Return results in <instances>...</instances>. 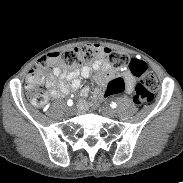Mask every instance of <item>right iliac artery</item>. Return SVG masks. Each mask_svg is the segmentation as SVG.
<instances>
[{
	"label": "right iliac artery",
	"instance_id": "obj_1",
	"mask_svg": "<svg viewBox=\"0 0 183 183\" xmlns=\"http://www.w3.org/2000/svg\"><path fill=\"white\" fill-rule=\"evenodd\" d=\"M67 104H68V106H72V104H73L72 100H68Z\"/></svg>",
	"mask_w": 183,
	"mask_h": 183
}]
</instances>
